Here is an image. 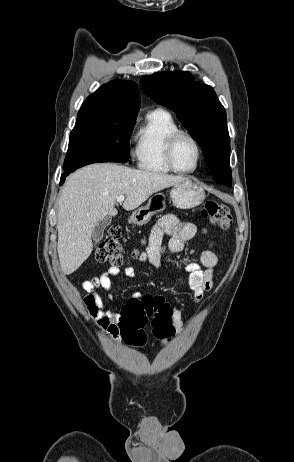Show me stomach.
<instances>
[{
	"label": "stomach",
	"instance_id": "0dacf381",
	"mask_svg": "<svg viewBox=\"0 0 294 462\" xmlns=\"http://www.w3.org/2000/svg\"><path fill=\"white\" fill-rule=\"evenodd\" d=\"M170 198L175 207L180 209H190L200 205L205 199L203 188L191 181L184 179L174 184L170 191ZM166 209L165 197L162 193L154 194L145 206L135 210L130 222L134 225L142 226L147 224L154 214L161 213Z\"/></svg>",
	"mask_w": 294,
	"mask_h": 462
}]
</instances>
